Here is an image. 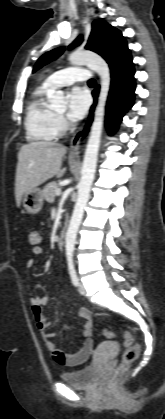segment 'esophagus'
<instances>
[{
    "instance_id": "1",
    "label": "esophagus",
    "mask_w": 165,
    "mask_h": 419,
    "mask_svg": "<svg viewBox=\"0 0 165 419\" xmlns=\"http://www.w3.org/2000/svg\"><path fill=\"white\" fill-rule=\"evenodd\" d=\"M84 129H85V124H83L73 136L71 140L70 150H69L70 156H78L79 151H80V142L82 140Z\"/></svg>"
}]
</instances>
